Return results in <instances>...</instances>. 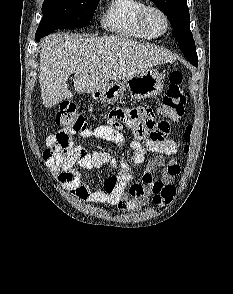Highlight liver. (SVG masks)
I'll return each mask as SVG.
<instances>
[{
  "label": "liver",
  "instance_id": "6515ba94",
  "mask_svg": "<svg viewBox=\"0 0 233 294\" xmlns=\"http://www.w3.org/2000/svg\"><path fill=\"white\" fill-rule=\"evenodd\" d=\"M39 83L46 108L71 98L67 80L75 73V92L91 94L111 80L129 79L174 57L157 46L120 36L87 37L53 34L40 51Z\"/></svg>",
  "mask_w": 233,
  "mask_h": 294
}]
</instances>
